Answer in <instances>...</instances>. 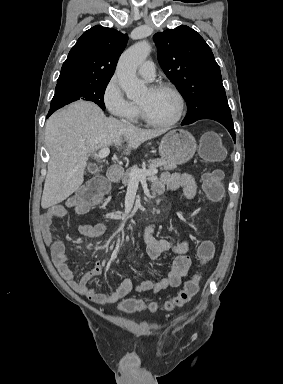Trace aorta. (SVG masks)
Listing matches in <instances>:
<instances>
[{
    "label": "aorta",
    "instance_id": "aorta-1",
    "mask_svg": "<svg viewBox=\"0 0 283 384\" xmlns=\"http://www.w3.org/2000/svg\"><path fill=\"white\" fill-rule=\"evenodd\" d=\"M151 49L147 41H140L127 49L118 61V80L129 99L139 98L146 91L144 82L136 76V70L146 60Z\"/></svg>",
    "mask_w": 283,
    "mask_h": 384
}]
</instances>
